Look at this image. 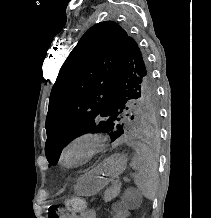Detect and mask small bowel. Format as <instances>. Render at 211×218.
<instances>
[{"label":"small bowel","instance_id":"c3829d8e","mask_svg":"<svg viewBox=\"0 0 211 218\" xmlns=\"http://www.w3.org/2000/svg\"><path fill=\"white\" fill-rule=\"evenodd\" d=\"M130 209L125 203H117L111 209V218H128ZM76 218H101L93 209H87L80 212Z\"/></svg>","mask_w":211,"mask_h":218}]
</instances>
